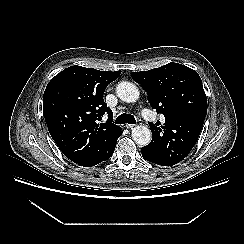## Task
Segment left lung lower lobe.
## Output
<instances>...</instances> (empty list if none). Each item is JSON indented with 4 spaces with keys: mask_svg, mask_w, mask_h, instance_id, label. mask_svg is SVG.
Returning <instances> with one entry per match:
<instances>
[{
    "mask_svg": "<svg viewBox=\"0 0 244 244\" xmlns=\"http://www.w3.org/2000/svg\"><path fill=\"white\" fill-rule=\"evenodd\" d=\"M142 151V156L145 160H148L150 162H153L155 163L156 162V158H155V155L154 153L151 151L150 148H148L147 146L143 147L141 149Z\"/></svg>",
    "mask_w": 244,
    "mask_h": 244,
    "instance_id": "obj_1",
    "label": "left lung lower lobe"
}]
</instances>
